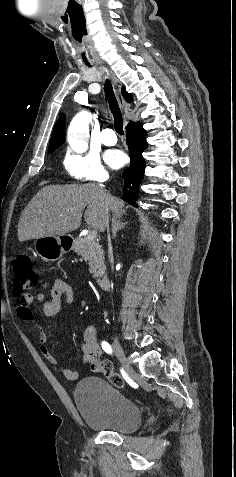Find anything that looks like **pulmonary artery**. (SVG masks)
I'll return each mask as SVG.
<instances>
[{
	"mask_svg": "<svg viewBox=\"0 0 236 477\" xmlns=\"http://www.w3.org/2000/svg\"><path fill=\"white\" fill-rule=\"evenodd\" d=\"M101 141L107 146H114L117 143L115 132L111 128H105L101 131Z\"/></svg>",
	"mask_w": 236,
	"mask_h": 477,
	"instance_id": "e3ab8cb5",
	"label": "pulmonary artery"
}]
</instances>
